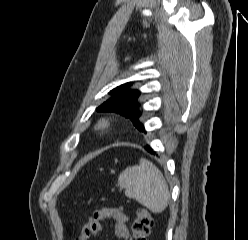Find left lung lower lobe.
<instances>
[{
    "label": "left lung lower lobe",
    "instance_id": "obj_1",
    "mask_svg": "<svg viewBox=\"0 0 248 240\" xmlns=\"http://www.w3.org/2000/svg\"><path fill=\"white\" fill-rule=\"evenodd\" d=\"M145 149H146L148 152L155 154V152L152 150V148H151L149 145L145 146Z\"/></svg>",
    "mask_w": 248,
    "mask_h": 240
}]
</instances>
